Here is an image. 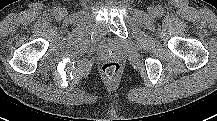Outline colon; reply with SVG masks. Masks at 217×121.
Wrapping results in <instances>:
<instances>
[{
  "instance_id": "5ec220e1",
  "label": "colon",
  "mask_w": 217,
  "mask_h": 121,
  "mask_svg": "<svg viewBox=\"0 0 217 121\" xmlns=\"http://www.w3.org/2000/svg\"><path fill=\"white\" fill-rule=\"evenodd\" d=\"M120 64L117 62H106L102 65V73L107 78H113L120 72Z\"/></svg>"
}]
</instances>
